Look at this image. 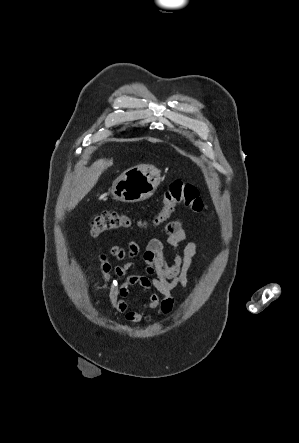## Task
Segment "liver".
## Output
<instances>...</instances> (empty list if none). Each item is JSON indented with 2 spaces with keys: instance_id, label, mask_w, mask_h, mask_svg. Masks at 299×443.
Returning a JSON list of instances; mask_svg holds the SVG:
<instances>
[{
  "instance_id": "obj_1",
  "label": "liver",
  "mask_w": 299,
  "mask_h": 443,
  "mask_svg": "<svg viewBox=\"0 0 299 443\" xmlns=\"http://www.w3.org/2000/svg\"><path fill=\"white\" fill-rule=\"evenodd\" d=\"M112 164V159H99L78 176L67 204L68 211L74 208L91 191L102 172Z\"/></svg>"
}]
</instances>
